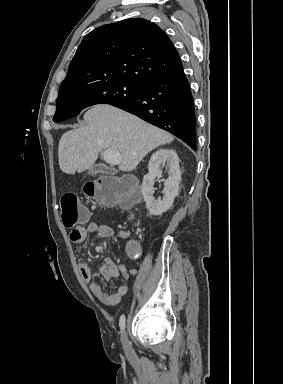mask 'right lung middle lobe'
Wrapping results in <instances>:
<instances>
[{
  "label": "right lung middle lobe",
  "mask_w": 283,
  "mask_h": 384,
  "mask_svg": "<svg viewBox=\"0 0 283 384\" xmlns=\"http://www.w3.org/2000/svg\"><path fill=\"white\" fill-rule=\"evenodd\" d=\"M140 91L141 85L125 80L62 87L59 89L53 121L61 122L75 117L84 108L95 104L115 105L135 99Z\"/></svg>",
  "instance_id": "dd1d6c3e"
}]
</instances>
